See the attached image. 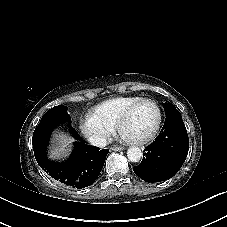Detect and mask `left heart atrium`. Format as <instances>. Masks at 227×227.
Listing matches in <instances>:
<instances>
[{
	"mask_svg": "<svg viewBox=\"0 0 227 227\" xmlns=\"http://www.w3.org/2000/svg\"><path fill=\"white\" fill-rule=\"evenodd\" d=\"M123 140H125V141H132L131 139H130V137L128 136V135H122V137H121Z\"/></svg>",
	"mask_w": 227,
	"mask_h": 227,
	"instance_id": "1",
	"label": "left heart atrium"
}]
</instances>
